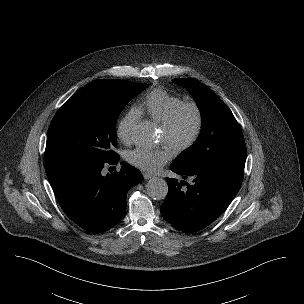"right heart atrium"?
Returning <instances> with one entry per match:
<instances>
[{
	"label": "right heart atrium",
	"instance_id": "right-heart-atrium-1",
	"mask_svg": "<svg viewBox=\"0 0 304 304\" xmlns=\"http://www.w3.org/2000/svg\"><path fill=\"white\" fill-rule=\"evenodd\" d=\"M140 114L135 109L128 110L118 121L116 127L117 137L125 144L131 142L132 132L139 120Z\"/></svg>",
	"mask_w": 304,
	"mask_h": 304
}]
</instances>
